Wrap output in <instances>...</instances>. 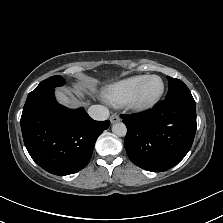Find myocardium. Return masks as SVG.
<instances>
[{"label":"myocardium","mask_w":223,"mask_h":223,"mask_svg":"<svg viewBox=\"0 0 223 223\" xmlns=\"http://www.w3.org/2000/svg\"><path fill=\"white\" fill-rule=\"evenodd\" d=\"M150 78H158L160 80V83H161L160 90L152 100L145 103H141L138 101V94L140 91V87L145 80L150 79ZM163 93H164V82L162 78L158 75H146L142 78L141 82L139 83L135 91L129 96V98L127 99L125 103V106L128 110H131L135 113L148 112L151 109H153L155 105L159 102Z\"/></svg>","instance_id":"1"}]
</instances>
